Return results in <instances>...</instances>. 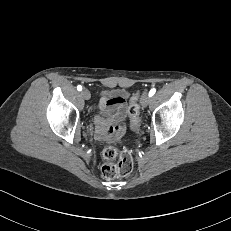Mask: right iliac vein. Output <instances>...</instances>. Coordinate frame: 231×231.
Returning <instances> with one entry per match:
<instances>
[{
    "mask_svg": "<svg viewBox=\"0 0 231 231\" xmlns=\"http://www.w3.org/2000/svg\"><path fill=\"white\" fill-rule=\"evenodd\" d=\"M81 95H82V97H83L85 100H89L90 97H91V94H90V92H89L87 89H83V90L81 91Z\"/></svg>",
    "mask_w": 231,
    "mask_h": 231,
    "instance_id": "1",
    "label": "right iliac vein"
}]
</instances>
